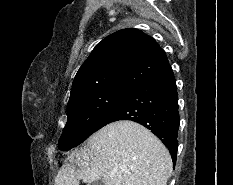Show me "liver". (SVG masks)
<instances>
[{"label": "liver", "instance_id": "liver-1", "mask_svg": "<svg viewBox=\"0 0 233 185\" xmlns=\"http://www.w3.org/2000/svg\"><path fill=\"white\" fill-rule=\"evenodd\" d=\"M172 159L164 144L133 121L110 123L65 159L54 185H166ZM113 173V175H111Z\"/></svg>", "mask_w": 233, "mask_h": 185}]
</instances>
